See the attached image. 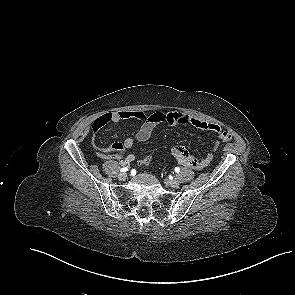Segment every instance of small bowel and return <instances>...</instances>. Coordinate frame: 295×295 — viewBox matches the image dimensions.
<instances>
[{
  "label": "small bowel",
  "mask_w": 295,
  "mask_h": 295,
  "mask_svg": "<svg viewBox=\"0 0 295 295\" xmlns=\"http://www.w3.org/2000/svg\"><path fill=\"white\" fill-rule=\"evenodd\" d=\"M135 119L142 122L138 132L134 137L126 138L123 142H115L111 146L102 147L98 143L99 131L110 123H119L124 120ZM161 123H168L170 125H190L200 130L209 131L216 135L213 147L210 152L202 159H197L190 155L183 146H177L173 149V155L179 164L195 170H201L207 167L213 160V152L216 150L220 142H229L232 135L229 131L222 130L221 127L215 123L206 122L189 116L187 114L171 111V112H155L147 114L139 110H124L105 113L96 118L92 124L93 142L97 148V156L101 159H119L122 165H129L134 159V154L124 155L126 149L131 148L135 141H147L155 127Z\"/></svg>",
  "instance_id": "small-bowel-1"
}]
</instances>
